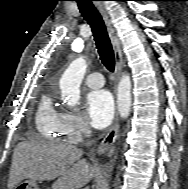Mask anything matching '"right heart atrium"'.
Segmentation results:
<instances>
[{"instance_id": "d8ad5b80", "label": "right heart atrium", "mask_w": 188, "mask_h": 189, "mask_svg": "<svg viewBox=\"0 0 188 189\" xmlns=\"http://www.w3.org/2000/svg\"><path fill=\"white\" fill-rule=\"evenodd\" d=\"M66 134L70 140L76 141L82 133L88 132V126L82 116L74 111L63 113Z\"/></svg>"}]
</instances>
